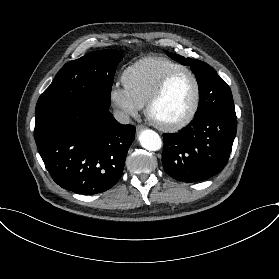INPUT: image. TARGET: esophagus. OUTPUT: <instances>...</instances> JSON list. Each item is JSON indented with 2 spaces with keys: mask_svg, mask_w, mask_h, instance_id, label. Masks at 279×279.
I'll use <instances>...</instances> for the list:
<instances>
[{
  "mask_svg": "<svg viewBox=\"0 0 279 279\" xmlns=\"http://www.w3.org/2000/svg\"><path fill=\"white\" fill-rule=\"evenodd\" d=\"M144 129H145V126L137 125L136 126V134L139 135Z\"/></svg>",
  "mask_w": 279,
  "mask_h": 279,
  "instance_id": "34e87169",
  "label": "esophagus"
}]
</instances>
